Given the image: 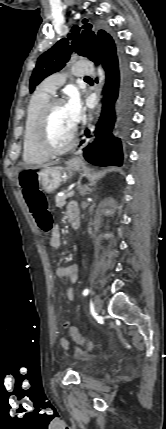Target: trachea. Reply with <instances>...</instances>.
Returning a JSON list of instances; mask_svg holds the SVG:
<instances>
[{
  "label": "trachea",
  "instance_id": "trachea-1",
  "mask_svg": "<svg viewBox=\"0 0 166 429\" xmlns=\"http://www.w3.org/2000/svg\"><path fill=\"white\" fill-rule=\"evenodd\" d=\"M85 79H90V77L86 76Z\"/></svg>",
  "mask_w": 166,
  "mask_h": 429
}]
</instances>
